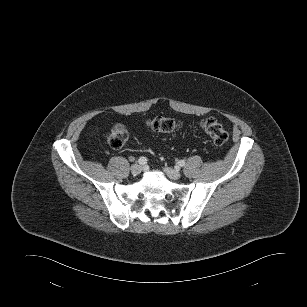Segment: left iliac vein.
<instances>
[{
    "instance_id": "obj_1",
    "label": "left iliac vein",
    "mask_w": 307,
    "mask_h": 307,
    "mask_svg": "<svg viewBox=\"0 0 307 307\" xmlns=\"http://www.w3.org/2000/svg\"><path fill=\"white\" fill-rule=\"evenodd\" d=\"M164 171L168 175V177L173 180H178L181 177V173L178 170L173 169L171 167H165Z\"/></svg>"
}]
</instances>
